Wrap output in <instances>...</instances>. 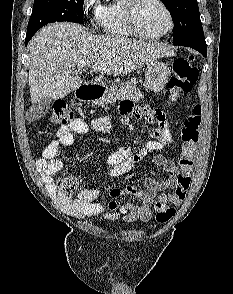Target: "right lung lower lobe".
<instances>
[{"mask_svg": "<svg viewBox=\"0 0 233 294\" xmlns=\"http://www.w3.org/2000/svg\"><path fill=\"white\" fill-rule=\"evenodd\" d=\"M34 34H27L25 39V45H27V42L32 38Z\"/></svg>", "mask_w": 233, "mask_h": 294, "instance_id": "98d812e1", "label": "right lung lower lobe"}]
</instances>
